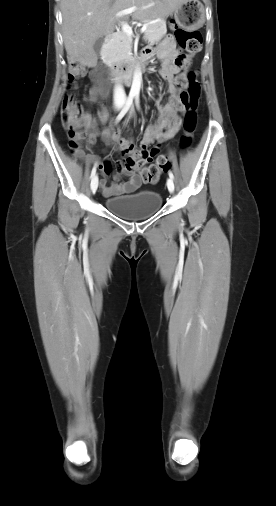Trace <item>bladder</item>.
<instances>
[{"mask_svg": "<svg viewBox=\"0 0 276 506\" xmlns=\"http://www.w3.org/2000/svg\"><path fill=\"white\" fill-rule=\"evenodd\" d=\"M160 193L141 190L131 194L105 199L107 209L126 219H141L156 213L162 205Z\"/></svg>", "mask_w": 276, "mask_h": 506, "instance_id": "1", "label": "bladder"}]
</instances>
